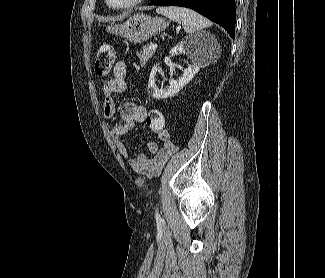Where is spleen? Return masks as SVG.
Segmentation results:
<instances>
[{
  "instance_id": "obj_1",
  "label": "spleen",
  "mask_w": 325,
  "mask_h": 278,
  "mask_svg": "<svg viewBox=\"0 0 325 278\" xmlns=\"http://www.w3.org/2000/svg\"><path fill=\"white\" fill-rule=\"evenodd\" d=\"M156 12L166 16L172 21H181L184 30L189 34L201 31L202 29L212 25L211 21L188 8L176 6L158 7Z\"/></svg>"
}]
</instances>
